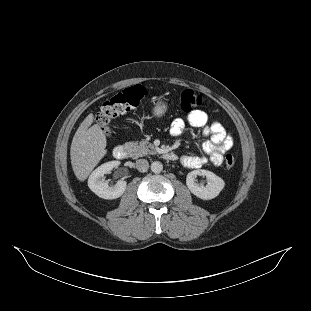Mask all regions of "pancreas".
I'll return each instance as SVG.
<instances>
[{
  "label": "pancreas",
  "mask_w": 311,
  "mask_h": 311,
  "mask_svg": "<svg viewBox=\"0 0 311 311\" xmlns=\"http://www.w3.org/2000/svg\"><path fill=\"white\" fill-rule=\"evenodd\" d=\"M126 151L132 158L142 157L148 154H156L153 144H147L145 141L141 142H126L124 144Z\"/></svg>",
  "instance_id": "1"
}]
</instances>
